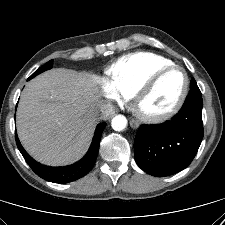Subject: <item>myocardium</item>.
<instances>
[{
  "label": "myocardium",
  "instance_id": "obj_1",
  "mask_svg": "<svg viewBox=\"0 0 225 225\" xmlns=\"http://www.w3.org/2000/svg\"><path fill=\"white\" fill-rule=\"evenodd\" d=\"M173 71H179L183 76V83L174 103L168 109L160 113L144 112L141 109V103L143 99L154 89V87L162 77ZM188 89H189V78L184 68L176 64L164 67L151 74L135 91L134 95L132 96L134 111L136 115L139 117V119H141L146 123L156 124L164 122L172 118L175 114L179 112V110L181 109L186 100Z\"/></svg>",
  "mask_w": 225,
  "mask_h": 225
}]
</instances>
